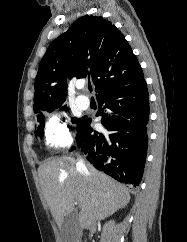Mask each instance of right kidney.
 Listing matches in <instances>:
<instances>
[{"label": "right kidney", "mask_w": 187, "mask_h": 242, "mask_svg": "<svg viewBox=\"0 0 187 242\" xmlns=\"http://www.w3.org/2000/svg\"><path fill=\"white\" fill-rule=\"evenodd\" d=\"M113 224H114V222H113V221H110V222L106 225L107 229H111V227L113 226Z\"/></svg>", "instance_id": "1"}]
</instances>
